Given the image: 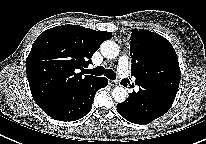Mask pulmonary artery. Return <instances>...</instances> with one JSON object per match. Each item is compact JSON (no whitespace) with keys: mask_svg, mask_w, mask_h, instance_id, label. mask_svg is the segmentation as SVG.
Instances as JSON below:
<instances>
[{"mask_svg":"<svg viewBox=\"0 0 206 144\" xmlns=\"http://www.w3.org/2000/svg\"><path fill=\"white\" fill-rule=\"evenodd\" d=\"M118 72L122 78H127L129 76V63L126 56H122L119 59Z\"/></svg>","mask_w":206,"mask_h":144,"instance_id":"pulmonary-artery-1","label":"pulmonary artery"}]
</instances>
